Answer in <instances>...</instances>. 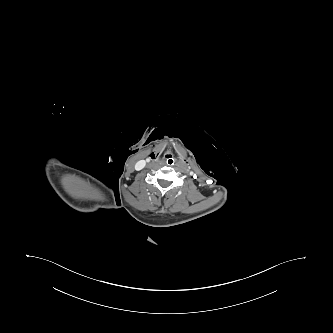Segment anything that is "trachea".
<instances>
[{
  "label": "trachea",
  "mask_w": 333,
  "mask_h": 333,
  "mask_svg": "<svg viewBox=\"0 0 333 333\" xmlns=\"http://www.w3.org/2000/svg\"><path fill=\"white\" fill-rule=\"evenodd\" d=\"M164 161L167 165L172 166L176 163L177 158L174 154L169 153L165 156Z\"/></svg>",
  "instance_id": "3493384b"
}]
</instances>
